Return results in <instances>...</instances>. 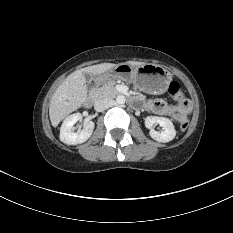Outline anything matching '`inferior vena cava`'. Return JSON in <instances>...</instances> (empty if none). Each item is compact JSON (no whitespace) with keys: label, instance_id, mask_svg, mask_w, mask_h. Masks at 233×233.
<instances>
[{"label":"inferior vena cava","instance_id":"obj_1","mask_svg":"<svg viewBox=\"0 0 233 233\" xmlns=\"http://www.w3.org/2000/svg\"><path fill=\"white\" fill-rule=\"evenodd\" d=\"M113 104V100L112 99H99L95 102L94 104V108L96 111L98 112H102L108 108H110Z\"/></svg>","mask_w":233,"mask_h":233}]
</instances>
